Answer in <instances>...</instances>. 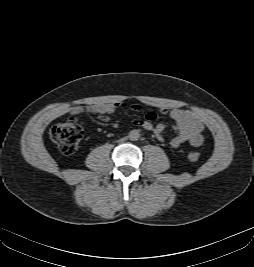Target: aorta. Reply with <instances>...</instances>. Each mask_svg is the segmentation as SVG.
<instances>
[{
	"label": "aorta",
	"instance_id": "obj_1",
	"mask_svg": "<svg viewBox=\"0 0 254 267\" xmlns=\"http://www.w3.org/2000/svg\"><path fill=\"white\" fill-rule=\"evenodd\" d=\"M128 138L130 140H132V141H136V140H138L140 138V134H139V132L137 130H131L129 132Z\"/></svg>",
	"mask_w": 254,
	"mask_h": 267
}]
</instances>
